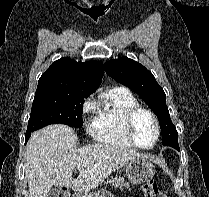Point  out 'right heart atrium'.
Returning a JSON list of instances; mask_svg holds the SVG:
<instances>
[{
    "instance_id": "obj_1",
    "label": "right heart atrium",
    "mask_w": 209,
    "mask_h": 197,
    "mask_svg": "<svg viewBox=\"0 0 209 197\" xmlns=\"http://www.w3.org/2000/svg\"><path fill=\"white\" fill-rule=\"evenodd\" d=\"M96 101L93 99H87L82 107V114L83 116H86L87 114H89L90 112L94 111L96 109Z\"/></svg>"
}]
</instances>
